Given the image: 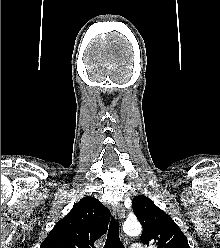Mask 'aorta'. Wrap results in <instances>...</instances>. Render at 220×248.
Returning <instances> with one entry per match:
<instances>
[{
    "label": "aorta",
    "mask_w": 220,
    "mask_h": 248,
    "mask_svg": "<svg viewBox=\"0 0 220 248\" xmlns=\"http://www.w3.org/2000/svg\"><path fill=\"white\" fill-rule=\"evenodd\" d=\"M123 231L129 236H137L141 233V225L136 219H127L123 225Z\"/></svg>",
    "instance_id": "1"
}]
</instances>
